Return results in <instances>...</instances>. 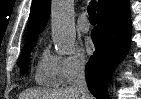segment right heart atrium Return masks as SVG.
<instances>
[{
    "mask_svg": "<svg viewBox=\"0 0 141 99\" xmlns=\"http://www.w3.org/2000/svg\"><path fill=\"white\" fill-rule=\"evenodd\" d=\"M59 73L61 81L70 83L82 75L86 67V59L80 51L58 57Z\"/></svg>",
    "mask_w": 141,
    "mask_h": 99,
    "instance_id": "right-heart-atrium-1",
    "label": "right heart atrium"
}]
</instances>
